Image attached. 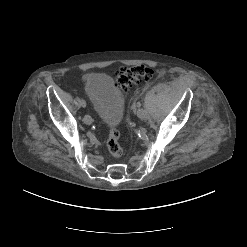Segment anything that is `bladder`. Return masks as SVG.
<instances>
[{
  "instance_id": "31cf9c89",
  "label": "bladder",
  "mask_w": 247,
  "mask_h": 247,
  "mask_svg": "<svg viewBox=\"0 0 247 247\" xmlns=\"http://www.w3.org/2000/svg\"><path fill=\"white\" fill-rule=\"evenodd\" d=\"M85 88L103 124L117 128L124 117L125 98L112 77L104 73H92L86 77Z\"/></svg>"
}]
</instances>
